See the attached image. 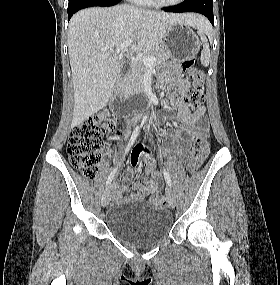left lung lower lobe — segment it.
<instances>
[{
	"label": "left lung lower lobe",
	"mask_w": 280,
	"mask_h": 285,
	"mask_svg": "<svg viewBox=\"0 0 280 285\" xmlns=\"http://www.w3.org/2000/svg\"><path fill=\"white\" fill-rule=\"evenodd\" d=\"M167 12H197L205 15L212 25H214L213 18V0H184L181 4L171 6L163 9Z\"/></svg>",
	"instance_id": "left-lung-lower-lobe-1"
}]
</instances>
